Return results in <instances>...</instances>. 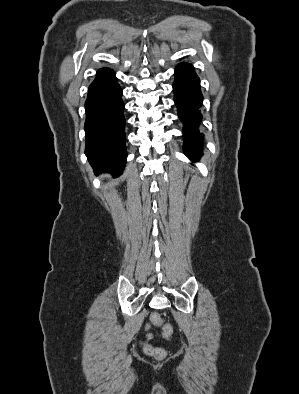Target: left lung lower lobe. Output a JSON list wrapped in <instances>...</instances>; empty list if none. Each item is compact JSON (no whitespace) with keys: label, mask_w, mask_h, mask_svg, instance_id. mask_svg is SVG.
<instances>
[{"label":"left lung lower lobe","mask_w":299,"mask_h":394,"mask_svg":"<svg viewBox=\"0 0 299 394\" xmlns=\"http://www.w3.org/2000/svg\"><path fill=\"white\" fill-rule=\"evenodd\" d=\"M174 101L178 108L179 118L184 123V152L191 160H198L202 155L203 134L198 130L202 115L200 79L191 64L181 63L175 69L173 84Z\"/></svg>","instance_id":"0a47b994"}]
</instances>
